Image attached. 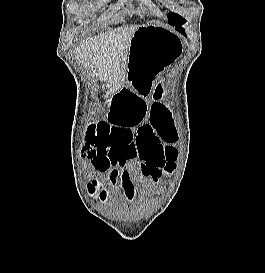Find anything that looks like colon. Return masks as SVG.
I'll return each mask as SVG.
<instances>
[{"instance_id":"colon-1","label":"colon","mask_w":265,"mask_h":273,"mask_svg":"<svg viewBox=\"0 0 265 273\" xmlns=\"http://www.w3.org/2000/svg\"><path fill=\"white\" fill-rule=\"evenodd\" d=\"M162 94V87L160 86L156 92V98H160ZM163 105H152L150 108V120L149 125L151 128H155L156 132H159V139H163L166 142H173L177 138V131L173 124L165 118L163 112ZM114 124V123H113ZM88 141L84 147L85 152H94V150H104L107 141L104 139V129H88ZM101 136V143H97L94 136ZM165 172L171 173L175 168V160L177 158V151L171 146L165 147Z\"/></svg>"}]
</instances>
